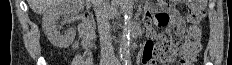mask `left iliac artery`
Wrapping results in <instances>:
<instances>
[{"mask_svg": "<svg viewBox=\"0 0 232 65\" xmlns=\"http://www.w3.org/2000/svg\"><path fill=\"white\" fill-rule=\"evenodd\" d=\"M124 61H125V65H131L130 57H126Z\"/></svg>", "mask_w": 232, "mask_h": 65, "instance_id": "obj_1", "label": "left iliac artery"}]
</instances>
